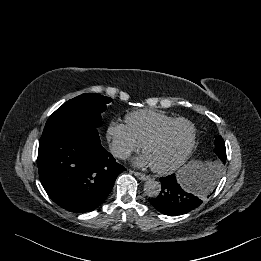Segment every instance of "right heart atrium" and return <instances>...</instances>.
Returning <instances> with one entry per match:
<instances>
[{"mask_svg": "<svg viewBox=\"0 0 261 261\" xmlns=\"http://www.w3.org/2000/svg\"><path fill=\"white\" fill-rule=\"evenodd\" d=\"M106 139L112 153L119 159H127L141 148L126 124L112 121L106 129Z\"/></svg>", "mask_w": 261, "mask_h": 261, "instance_id": "right-heart-atrium-1", "label": "right heart atrium"}]
</instances>
